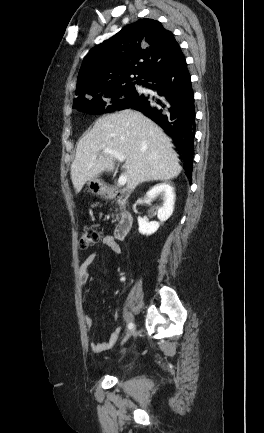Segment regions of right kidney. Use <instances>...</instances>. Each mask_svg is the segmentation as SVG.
<instances>
[{
  "label": "right kidney",
  "instance_id": "obj_1",
  "mask_svg": "<svg viewBox=\"0 0 264 433\" xmlns=\"http://www.w3.org/2000/svg\"><path fill=\"white\" fill-rule=\"evenodd\" d=\"M159 195L163 198V205L159 208L157 216L160 222H164L170 218L174 210V189L169 183H162L154 186L146 194L149 199H154ZM138 225L141 234L151 235L158 230L160 223L156 221L148 222V220L138 217Z\"/></svg>",
  "mask_w": 264,
  "mask_h": 433
}]
</instances>
